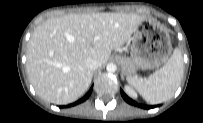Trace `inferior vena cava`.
I'll return each instance as SVG.
<instances>
[{"label": "inferior vena cava", "mask_w": 203, "mask_h": 123, "mask_svg": "<svg viewBox=\"0 0 203 123\" xmlns=\"http://www.w3.org/2000/svg\"><path fill=\"white\" fill-rule=\"evenodd\" d=\"M101 65H102L101 62L96 58H89V59L86 60V66L91 71L97 69Z\"/></svg>", "instance_id": "inferior-vena-cava-1"}]
</instances>
